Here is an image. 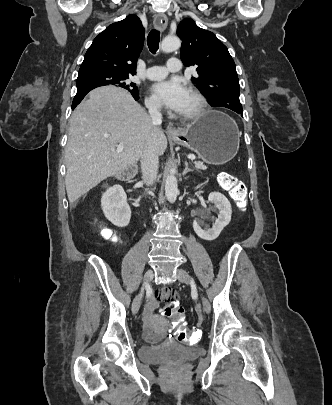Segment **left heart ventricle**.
Returning a JSON list of instances; mask_svg holds the SVG:
<instances>
[{
	"instance_id": "obj_1",
	"label": "left heart ventricle",
	"mask_w": 332,
	"mask_h": 405,
	"mask_svg": "<svg viewBox=\"0 0 332 405\" xmlns=\"http://www.w3.org/2000/svg\"><path fill=\"white\" fill-rule=\"evenodd\" d=\"M196 108V101L195 99L192 97V95L187 92V96L186 99L184 101V104L182 106V108L180 109V111H178V113L180 115H187L192 113Z\"/></svg>"
}]
</instances>
